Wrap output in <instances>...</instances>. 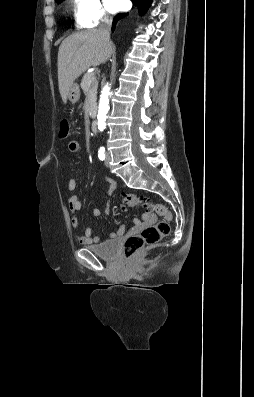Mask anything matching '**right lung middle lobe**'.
<instances>
[{"label": "right lung middle lobe", "instance_id": "obj_1", "mask_svg": "<svg viewBox=\"0 0 254 397\" xmlns=\"http://www.w3.org/2000/svg\"><path fill=\"white\" fill-rule=\"evenodd\" d=\"M56 2L59 4V3H61V2H62V0H56Z\"/></svg>", "mask_w": 254, "mask_h": 397}]
</instances>
